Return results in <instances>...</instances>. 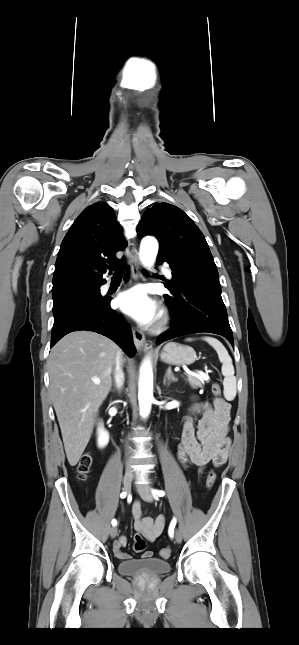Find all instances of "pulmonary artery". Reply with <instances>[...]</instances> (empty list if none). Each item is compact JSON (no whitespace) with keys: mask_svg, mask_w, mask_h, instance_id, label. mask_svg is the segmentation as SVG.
I'll use <instances>...</instances> for the list:
<instances>
[{"mask_svg":"<svg viewBox=\"0 0 299 645\" xmlns=\"http://www.w3.org/2000/svg\"><path fill=\"white\" fill-rule=\"evenodd\" d=\"M162 270H163V272H164L168 277H171V276H172V271H171V269H170V268H168L167 266H164V267L162 268ZM108 287H109V284H106V285H104V287H103V288H104V289H107Z\"/></svg>","mask_w":299,"mask_h":645,"instance_id":"pulmonary-artery-1","label":"pulmonary artery"}]
</instances>
